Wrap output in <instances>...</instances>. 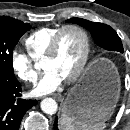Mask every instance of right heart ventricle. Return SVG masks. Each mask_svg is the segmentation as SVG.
I'll return each mask as SVG.
<instances>
[{"label":"right heart ventricle","mask_w":130,"mask_h":130,"mask_svg":"<svg viewBox=\"0 0 130 130\" xmlns=\"http://www.w3.org/2000/svg\"><path fill=\"white\" fill-rule=\"evenodd\" d=\"M60 27L47 26L41 27L31 32L25 39V46L29 55L34 60L44 58L54 35L59 31Z\"/></svg>","instance_id":"1"}]
</instances>
